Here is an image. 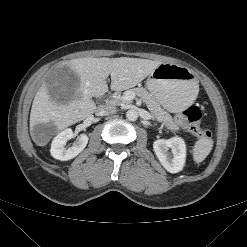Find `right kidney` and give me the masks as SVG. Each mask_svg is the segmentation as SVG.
Segmentation results:
<instances>
[{"label":"right kidney","instance_id":"ca27d5eb","mask_svg":"<svg viewBox=\"0 0 247 247\" xmlns=\"http://www.w3.org/2000/svg\"><path fill=\"white\" fill-rule=\"evenodd\" d=\"M74 137L73 131L68 128L59 133L52 141L50 153L53 158L67 161L75 158L79 153L83 151L88 143V136L86 134H81L77 137V140L69 148L65 145L67 141Z\"/></svg>","mask_w":247,"mask_h":247}]
</instances>
